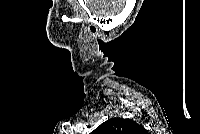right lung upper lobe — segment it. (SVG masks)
<instances>
[{
  "instance_id": "cb5924a9",
  "label": "right lung upper lobe",
  "mask_w": 200,
  "mask_h": 134,
  "mask_svg": "<svg viewBox=\"0 0 200 134\" xmlns=\"http://www.w3.org/2000/svg\"><path fill=\"white\" fill-rule=\"evenodd\" d=\"M93 134H146L142 125L133 120L112 118L97 127Z\"/></svg>"
}]
</instances>
